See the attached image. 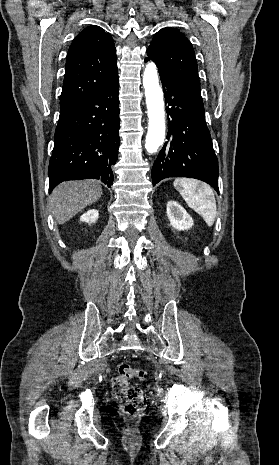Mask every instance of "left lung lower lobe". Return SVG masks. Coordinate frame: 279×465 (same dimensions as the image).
<instances>
[{"instance_id":"0a47b994","label":"left lung lower lobe","mask_w":279,"mask_h":465,"mask_svg":"<svg viewBox=\"0 0 279 465\" xmlns=\"http://www.w3.org/2000/svg\"><path fill=\"white\" fill-rule=\"evenodd\" d=\"M160 74V73H159ZM169 119L165 142L152 168V183L168 177L202 180L218 190V160L205 123L202 99L169 77L160 74Z\"/></svg>"}]
</instances>
